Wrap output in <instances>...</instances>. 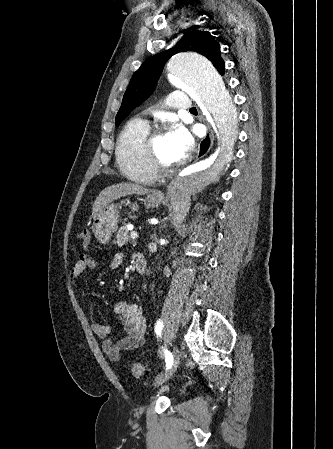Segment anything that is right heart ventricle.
Wrapping results in <instances>:
<instances>
[{"mask_svg":"<svg viewBox=\"0 0 333 449\" xmlns=\"http://www.w3.org/2000/svg\"><path fill=\"white\" fill-rule=\"evenodd\" d=\"M149 131L148 124L139 118L129 121L121 131L115 147V157L122 173L131 181L149 184L156 179L149 168L143 142Z\"/></svg>","mask_w":333,"mask_h":449,"instance_id":"1","label":"right heart ventricle"}]
</instances>
